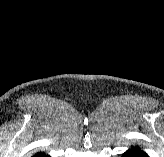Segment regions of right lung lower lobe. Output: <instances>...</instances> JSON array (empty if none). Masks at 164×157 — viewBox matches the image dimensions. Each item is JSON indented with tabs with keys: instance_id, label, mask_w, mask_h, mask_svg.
<instances>
[{
	"instance_id": "obj_1",
	"label": "right lung lower lobe",
	"mask_w": 164,
	"mask_h": 157,
	"mask_svg": "<svg viewBox=\"0 0 164 157\" xmlns=\"http://www.w3.org/2000/svg\"><path fill=\"white\" fill-rule=\"evenodd\" d=\"M33 157H49L48 155H46L45 153H37L35 154Z\"/></svg>"
}]
</instances>
